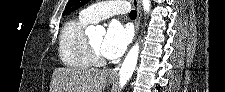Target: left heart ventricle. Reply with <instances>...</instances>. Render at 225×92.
Segmentation results:
<instances>
[{
    "label": "left heart ventricle",
    "mask_w": 225,
    "mask_h": 92,
    "mask_svg": "<svg viewBox=\"0 0 225 92\" xmlns=\"http://www.w3.org/2000/svg\"><path fill=\"white\" fill-rule=\"evenodd\" d=\"M90 41H91L92 45L98 50V52L101 55L100 47H101V44H102V41H103V36L100 35V36L93 37V38L90 39Z\"/></svg>",
    "instance_id": "obj_1"
}]
</instances>
